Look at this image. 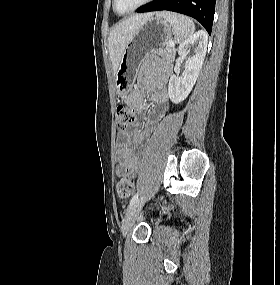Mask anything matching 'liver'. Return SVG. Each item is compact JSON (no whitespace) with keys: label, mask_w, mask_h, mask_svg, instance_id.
Here are the masks:
<instances>
[{"label":"liver","mask_w":280,"mask_h":285,"mask_svg":"<svg viewBox=\"0 0 280 285\" xmlns=\"http://www.w3.org/2000/svg\"><path fill=\"white\" fill-rule=\"evenodd\" d=\"M154 13L134 15L118 25H116L109 34L108 49L113 66L114 75L117 72L119 63L126 49V46L138 31L139 27L148 19L152 18Z\"/></svg>","instance_id":"1"}]
</instances>
